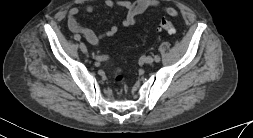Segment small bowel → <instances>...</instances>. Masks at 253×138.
Masks as SVG:
<instances>
[{"mask_svg": "<svg viewBox=\"0 0 253 138\" xmlns=\"http://www.w3.org/2000/svg\"><path fill=\"white\" fill-rule=\"evenodd\" d=\"M104 4L107 7H119L126 10V16L122 21V25L126 28L133 27L136 24L138 16L148 9L160 10L171 17H176L179 14L175 8L161 6L157 0H136L134 2L127 0H104ZM94 11L95 7L92 5H88L83 9L79 7L71 8L68 12V26L72 32L82 34L90 44L98 45L103 38L115 36L119 31V26L113 25L102 33H96L92 29L82 26L78 21V15L81 12L92 13Z\"/></svg>", "mask_w": 253, "mask_h": 138, "instance_id": "1", "label": "small bowel"}]
</instances>
